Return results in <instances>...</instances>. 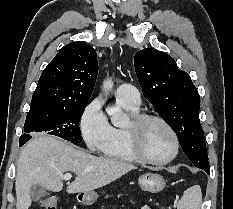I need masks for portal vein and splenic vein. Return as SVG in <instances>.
Returning <instances> with one entry per match:
<instances>
[{
    "mask_svg": "<svg viewBox=\"0 0 233 209\" xmlns=\"http://www.w3.org/2000/svg\"><path fill=\"white\" fill-rule=\"evenodd\" d=\"M71 177H72V175L69 174V173H67L65 175H61V178L64 179V180H69V179H71Z\"/></svg>",
    "mask_w": 233,
    "mask_h": 209,
    "instance_id": "obj_1",
    "label": "portal vein and splenic vein"
}]
</instances>
